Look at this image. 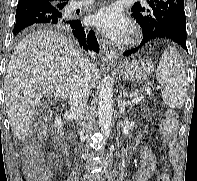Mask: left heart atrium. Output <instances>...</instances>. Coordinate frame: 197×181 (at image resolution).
Segmentation results:
<instances>
[{"instance_id": "obj_1", "label": "left heart atrium", "mask_w": 197, "mask_h": 181, "mask_svg": "<svg viewBox=\"0 0 197 181\" xmlns=\"http://www.w3.org/2000/svg\"><path fill=\"white\" fill-rule=\"evenodd\" d=\"M92 22L111 37H124L129 30V21L117 5L101 8L92 16Z\"/></svg>"}]
</instances>
